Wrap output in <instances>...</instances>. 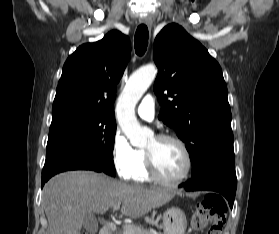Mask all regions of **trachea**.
<instances>
[{
	"instance_id": "1",
	"label": "trachea",
	"mask_w": 279,
	"mask_h": 234,
	"mask_svg": "<svg viewBox=\"0 0 279 234\" xmlns=\"http://www.w3.org/2000/svg\"><path fill=\"white\" fill-rule=\"evenodd\" d=\"M148 46V28L146 25L141 24L138 26L135 39H134V47L135 51L139 56L144 55Z\"/></svg>"
}]
</instances>
